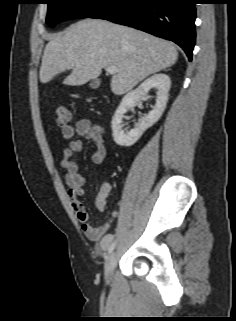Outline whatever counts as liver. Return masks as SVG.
<instances>
[{
  "mask_svg": "<svg viewBox=\"0 0 236 321\" xmlns=\"http://www.w3.org/2000/svg\"><path fill=\"white\" fill-rule=\"evenodd\" d=\"M178 59L176 47L143 31L101 19H84L49 38L40 68L47 83L72 70L65 85L81 86L97 78L103 68L116 66L111 90L123 95L147 76L171 67Z\"/></svg>",
  "mask_w": 236,
  "mask_h": 321,
  "instance_id": "1",
  "label": "liver"
}]
</instances>
